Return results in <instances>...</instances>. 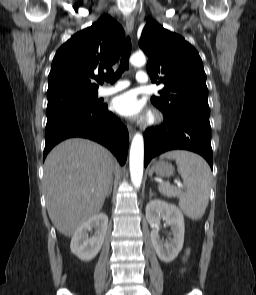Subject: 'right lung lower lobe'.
I'll list each match as a JSON object with an SVG mask.
<instances>
[{"label":"right lung lower lobe","instance_id":"obj_1","mask_svg":"<svg viewBox=\"0 0 256 295\" xmlns=\"http://www.w3.org/2000/svg\"><path fill=\"white\" fill-rule=\"evenodd\" d=\"M43 159L59 142L70 137H84L101 143L124 164L129 134L121 121L108 111L106 104L86 107L73 102L48 100Z\"/></svg>","mask_w":256,"mask_h":295}]
</instances>
